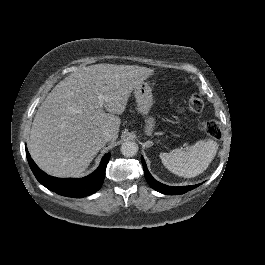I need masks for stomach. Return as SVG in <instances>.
Masks as SVG:
<instances>
[{
  "label": "stomach",
  "mask_w": 265,
  "mask_h": 265,
  "mask_svg": "<svg viewBox=\"0 0 265 265\" xmlns=\"http://www.w3.org/2000/svg\"><path fill=\"white\" fill-rule=\"evenodd\" d=\"M134 96L137 103V110L142 115H148L153 105L152 88L147 82L142 81L138 86L134 88ZM145 133L146 135H152L155 119L153 117H147L145 119Z\"/></svg>",
  "instance_id": "0dacf381"
}]
</instances>
